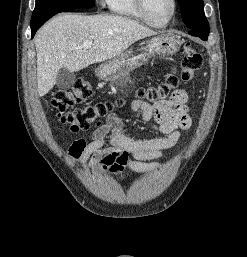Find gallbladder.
Wrapping results in <instances>:
<instances>
[{
    "label": "gallbladder",
    "mask_w": 247,
    "mask_h": 257,
    "mask_svg": "<svg viewBox=\"0 0 247 257\" xmlns=\"http://www.w3.org/2000/svg\"><path fill=\"white\" fill-rule=\"evenodd\" d=\"M75 82V74L67 68H61L56 77V85L61 89L70 88Z\"/></svg>",
    "instance_id": "1"
}]
</instances>
